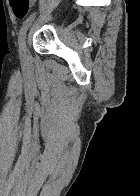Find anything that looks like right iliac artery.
<instances>
[{
  "label": "right iliac artery",
  "mask_w": 140,
  "mask_h": 196,
  "mask_svg": "<svg viewBox=\"0 0 140 196\" xmlns=\"http://www.w3.org/2000/svg\"><path fill=\"white\" fill-rule=\"evenodd\" d=\"M34 14H32L26 21L25 24L23 25V27L21 28L20 32H19V40H18V44H19V48H20V56L21 58H23L27 48H26V43H25V35H26V31L27 28L29 27L30 24V20L33 18Z\"/></svg>",
  "instance_id": "right-iliac-artery-1"
}]
</instances>
